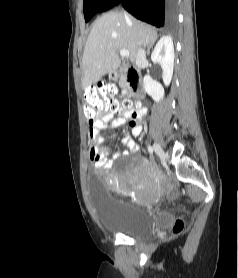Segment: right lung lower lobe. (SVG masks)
I'll list each match as a JSON object with an SVG mask.
<instances>
[{
	"label": "right lung lower lobe",
	"instance_id": "right-lung-lower-lobe-1",
	"mask_svg": "<svg viewBox=\"0 0 238 278\" xmlns=\"http://www.w3.org/2000/svg\"><path fill=\"white\" fill-rule=\"evenodd\" d=\"M177 0H105L97 13L104 12L116 5L122 6L136 18L156 27L174 23Z\"/></svg>",
	"mask_w": 238,
	"mask_h": 278
}]
</instances>
